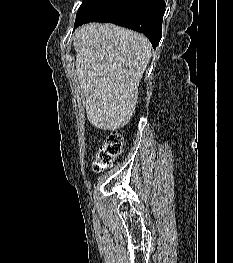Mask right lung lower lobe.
I'll return each mask as SVG.
<instances>
[{
    "label": "right lung lower lobe",
    "instance_id": "right-lung-lower-lobe-1",
    "mask_svg": "<svg viewBox=\"0 0 233 263\" xmlns=\"http://www.w3.org/2000/svg\"><path fill=\"white\" fill-rule=\"evenodd\" d=\"M165 6L164 0H126L108 19L97 22H111L143 33L156 48L162 37ZM84 23L88 22H76L75 27Z\"/></svg>",
    "mask_w": 233,
    "mask_h": 263
}]
</instances>
